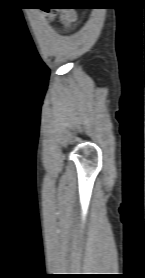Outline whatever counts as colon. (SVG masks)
Returning a JSON list of instances; mask_svg holds the SVG:
<instances>
[{"mask_svg":"<svg viewBox=\"0 0 145 278\" xmlns=\"http://www.w3.org/2000/svg\"><path fill=\"white\" fill-rule=\"evenodd\" d=\"M53 10L54 11H63V10H67L69 8H79L78 5H75V4H62V5H56L54 7Z\"/></svg>","mask_w":145,"mask_h":278,"instance_id":"colon-1","label":"colon"}]
</instances>
